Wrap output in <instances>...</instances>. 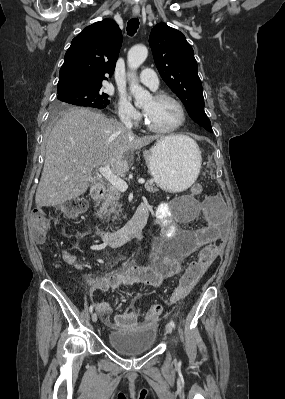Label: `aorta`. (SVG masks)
Listing matches in <instances>:
<instances>
[{
  "instance_id": "obj_1",
  "label": "aorta",
  "mask_w": 285,
  "mask_h": 399,
  "mask_svg": "<svg viewBox=\"0 0 285 399\" xmlns=\"http://www.w3.org/2000/svg\"><path fill=\"white\" fill-rule=\"evenodd\" d=\"M148 56V49L144 45H137L132 47L127 56V63L132 73L130 74V92L135 98V104L138 107L144 105L146 101L151 98L150 93L140 86L135 80V70L146 60Z\"/></svg>"
}]
</instances>
